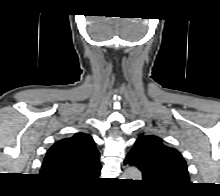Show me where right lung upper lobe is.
Returning <instances> with one entry per match:
<instances>
[{
  "instance_id": "1",
  "label": "right lung upper lobe",
  "mask_w": 220,
  "mask_h": 196,
  "mask_svg": "<svg viewBox=\"0 0 220 196\" xmlns=\"http://www.w3.org/2000/svg\"><path fill=\"white\" fill-rule=\"evenodd\" d=\"M99 157L92 137L76 133L56 142L48 150L40 175L57 184L83 185L99 176Z\"/></svg>"
}]
</instances>
